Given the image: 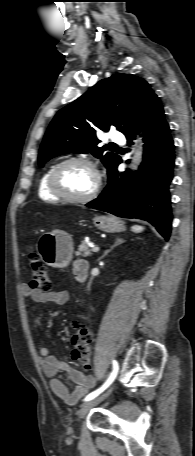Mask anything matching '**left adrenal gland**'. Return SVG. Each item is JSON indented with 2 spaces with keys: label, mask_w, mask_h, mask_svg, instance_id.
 <instances>
[{
  "label": "left adrenal gland",
  "mask_w": 195,
  "mask_h": 456,
  "mask_svg": "<svg viewBox=\"0 0 195 456\" xmlns=\"http://www.w3.org/2000/svg\"><path fill=\"white\" fill-rule=\"evenodd\" d=\"M124 242H125L124 239L116 238L114 244L110 247V249H108V250H106V251L104 252V254L99 258V260L102 259L103 257H105V256H106L110 251H112L116 246H118V245H120V244H122V243H124Z\"/></svg>",
  "instance_id": "1"
}]
</instances>
